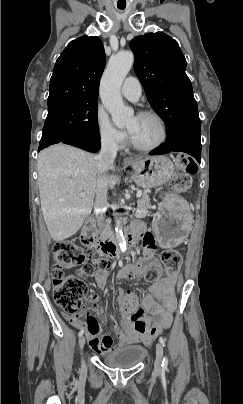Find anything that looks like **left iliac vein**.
<instances>
[{"instance_id": "4c4485c4", "label": "left iliac vein", "mask_w": 243, "mask_h": 404, "mask_svg": "<svg viewBox=\"0 0 243 404\" xmlns=\"http://www.w3.org/2000/svg\"><path fill=\"white\" fill-rule=\"evenodd\" d=\"M162 360H163V346L161 343L156 344V359L154 363V370L156 373H159L162 368Z\"/></svg>"}]
</instances>
